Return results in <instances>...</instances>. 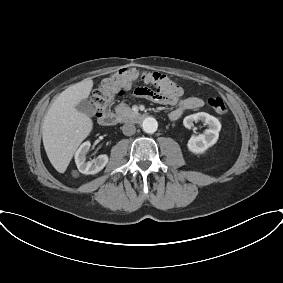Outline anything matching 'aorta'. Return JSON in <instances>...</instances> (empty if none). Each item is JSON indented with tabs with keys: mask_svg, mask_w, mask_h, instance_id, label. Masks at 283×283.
Wrapping results in <instances>:
<instances>
[{
	"mask_svg": "<svg viewBox=\"0 0 283 283\" xmlns=\"http://www.w3.org/2000/svg\"><path fill=\"white\" fill-rule=\"evenodd\" d=\"M157 128H158V122L155 118L148 117L143 120L142 129L144 132L153 134L154 132L157 131Z\"/></svg>",
	"mask_w": 283,
	"mask_h": 283,
	"instance_id": "762f6f07",
	"label": "aorta"
}]
</instances>
